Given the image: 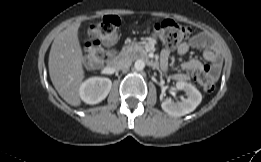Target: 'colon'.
<instances>
[{
	"label": "colon",
	"instance_id": "obj_1",
	"mask_svg": "<svg viewBox=\"0 0 261 162\" xmlns=\"http://www.w3.org/2000/svg\"><path fill=\"white\" fill-rule=\"evenodd\" d=\"M120 20L117 16H106L93 23L89 28L90 42L87 45L86 57L93 64H101L105 57V47L112 46L118 37ZM154 31L160 40L168 47H175L189 37L188 27L173 20H161L155 23ZM196 81L204 91L212 92L215 89V77L207 70L195 74Z\"/></svg>",
	"mask_w": 261,
	"mask_h": 162
}]
</instances>
